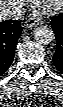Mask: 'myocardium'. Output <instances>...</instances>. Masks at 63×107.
I'll list each match as a JSON object with an SVG mask.
<instances>
[{
	"label": "myocardium",
	"mask_w": 63,
	"mask_h": 107,
	"mask_svg": "<svg viewBox=\"0 0 63 107\" xmlns=\"http://www.w3.org/2000/svg\"><path fill=\"white\" fill-rule=\"evenodd\" d=\"M35 8L43 11L44 13L53 14L58 12L62 6L63 1L62 0H35L34 2Z\"/></svg>",
	"instance_id": "f54148a6"
}]
</instances>
